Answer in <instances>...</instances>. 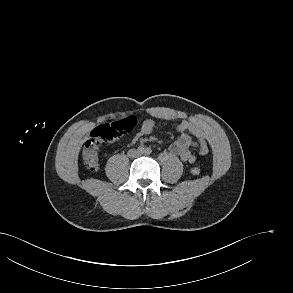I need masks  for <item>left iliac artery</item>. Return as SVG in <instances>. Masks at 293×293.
Wrapping results in <instances>:
<instances>
[{
    "label": "left iliac artery",
    "instance_id": "obj_1",
    "mask_svg": "<svg viewBox=\"0 0 293 293\" xmlns=\"http://www.w3.org/2000/svg\"><path fill=\"white\" fill-rule=\"evenodd\" d=\"M145 153H146L147 155L151 154V153H152L151 148H150V147H147V148L145 149Z\"/></svg>",
    "mask_w": 293,
    "mask_h": 293
}]
</instances>
